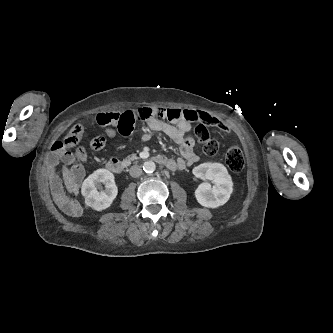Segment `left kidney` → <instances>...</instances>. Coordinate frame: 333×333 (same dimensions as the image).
<instances>
[{
    "label": "left kidney",
    "instance_id": "left-kidney-1",
    "mask_svg": "<svg viewBox=\"0 0 333 333\" xmlns=\"http://www.w3.org/2000/svg\"><path fill=\"white\" fill-rule=\"evenodd\" d=\"M193 174L214 184L211 186L209 182H204L198 186L195 197L200 205L216 208L229 200L233 182L225 166L220 163H202L193 169Z\"/></svg>",
    "mask_w": 333,
    "mask_h": 333
}]
</instances>
